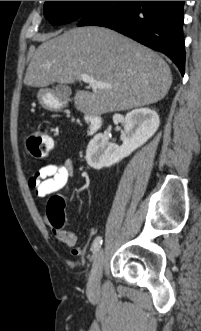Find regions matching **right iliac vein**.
Listing matches in <instances>:
<instances>
[{
	"label": "right iliac vein",
	"instance_id": "obj_1",
	"mask_svg": "<svg viewBox=\"0 0 201 331\" xmlns=\"http://www.w3.org/2000/svg\"><path fill=\"white\" fill-rule=\"evenodd\" d=\"M103 261H104V251L103 249H100L95 255L89 277L87 290L90 295H94L99 291L100 280L102 277Z\"/></svg>",
	"mask_w": 201,
	"mask_h": 331
}]
</instances>
